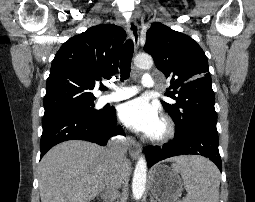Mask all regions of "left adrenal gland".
I'll return each mask as SVG.
<instances>
[{
	"mask_svg": "<svg viewBox=\"0 0 255 202\" xmlns=\"http://www.w3.org/2000/svg\"><path fill=\"white\" fill-rule=\"evenodd\" d=\"M150 202H155L152 196L150 197Z\"/></svg>",
	"mask_w": 255,
	"mask_h": 202,
	"instance_id": "obj_1",
	"label": "left adrenal gland"
}]
</instances>
